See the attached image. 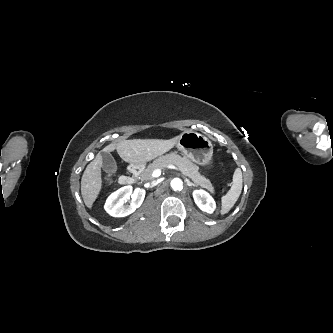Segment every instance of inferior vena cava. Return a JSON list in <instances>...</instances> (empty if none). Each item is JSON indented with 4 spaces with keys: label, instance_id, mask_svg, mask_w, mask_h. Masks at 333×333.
<instances>
[{
    "label": "inferior vena cava",
    "instance_id": "inferior-vena-cava-1",
    "mask_svg": "<svg viewBox=\"0 0 333 333\" xmlns=\"http://www.w3.org/2000/svg\"><path fill=\"white\" fill-rule=\"evenodd\" d=\"M156 184H157V182H153V183L151 184V187L155 186Z\"/></svg>",
    "mask_w": 333,
    "mask_h": 333
}]
</instances>
